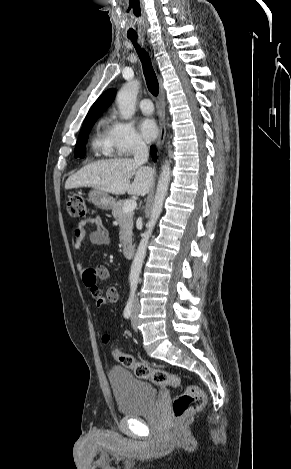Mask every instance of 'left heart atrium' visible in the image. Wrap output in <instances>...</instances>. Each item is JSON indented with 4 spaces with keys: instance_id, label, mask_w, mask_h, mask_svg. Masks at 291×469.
Wrapping results in <instances>:
<instances>
[{
    "instance_id": "1",
    "label": "left heart atrium",
    "mask_w": 291,
    "mask_h": 469,
    "mask_svg": "<svg viewBox=\"0 0 291 469\" xmlns=\"http://www.w3.org/2000/svg\"><path fill=\"white\" fill-rule=\"evenodd\" d=\"M140 131L147 141L154 140L158 135L156 122L151 118H145L140 122Z\"/></svg>"
}]
</instances>
